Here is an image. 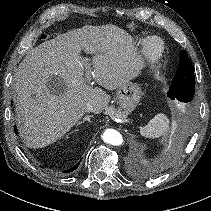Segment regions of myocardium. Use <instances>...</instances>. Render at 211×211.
<instances>
[{
	"label": "myocardium",
	"mask_w": 211,
	"mask_h": 211,
	"mask_svg": "<svg viewBox=\"0 0 211 211\" xmlns=\"http://www.w3.org/2000/svg\"><path fill=\"white\" fill-rule=\"evenodd\" d=\"M164 49V41L156 36L148 37L143 44V54L152 62L159 61L162 58Z\"/></svg>",
	"instance_id": "f54148a6"
}]
</instances>
